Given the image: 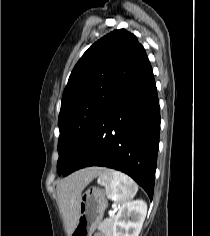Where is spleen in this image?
I'll return each mask as SVG.
<instances>
[{
  "label": "spleen",
  "mask_w": 210,
  "mask_h": 236,
  "mask_svg": "<svg viewBox=\"0 0 210 236\" xmlns=\"http://www.w3.org/2000/svg\"><path fill=\"white\" fill-rule=\"evenodd\" d=\"M98 183L105 186L107 197L115 203H126L133 199L138 191V186L133 179L111 169H107L99 175Z\"/></svg>",
  "instance_id": "obj_1"
}]
</instances>
